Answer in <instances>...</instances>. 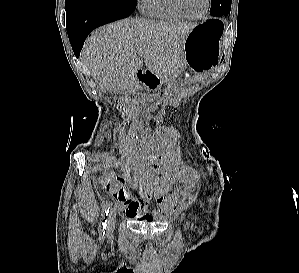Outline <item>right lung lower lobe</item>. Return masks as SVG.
Instances as JSON below:
<instances>
[{"label": "right lung lower lobe", "mask_w": 299, "mask_h": 273, "mask_svg": "<svg viewBox=\"0 0 299 273\" xmlns=\"http://www.w3.org/2000/svg\"><path fill=\"white\" fill-rule=\"evenodd\" d=\"M65 6L67 33L77 58L92 30L128 17L136 9V3L116 0H71Z\"/></svg>", "instance_id": "right-lung-lower-lobe-1"}]
</instances>
